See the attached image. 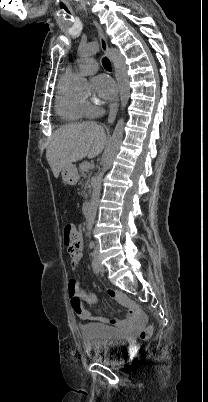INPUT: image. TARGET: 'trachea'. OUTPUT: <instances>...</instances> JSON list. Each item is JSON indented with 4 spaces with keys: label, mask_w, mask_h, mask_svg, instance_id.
Listing matches in <instances>:
<instances>
[{
    "label": "trachea",
    "mask_w": 208,
    "mask_h": 402,
    "mask_svg": "<svg viewBox=\"0 0 208 402\" xmlns=\"http://www.w3.org/2000/svg\"><path fill=\"white\" fill-rule=\"evenodd\" d=\"M102 64L106 70L111 71V63L108 58L104 57L102 60Z\"/></svg>",
    "instance_id": "obj_1"
}]
</instances>
